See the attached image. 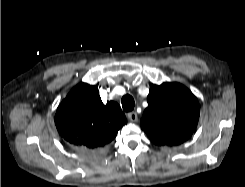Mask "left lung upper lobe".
Returning a JSON list of instances; mask_svg holds the SVG:
<instances>
[{
    "label": "left lung upper lobe",
    "instance_id": "5c2ea615",
    "mask_svg": "<svg viewBox=\"0 0 245 187\" xmlns=\"http://www.w3.org/2000/svg\"><path fill=\"white\" fill-rule=\"evenodd\" d=\"M141 127L156 145L176 146L194 132L200 114L197 98L179 83L154 85Z\"/></svg>",
    "mask_w": 245,
    "mask_h": 187
}]
</instances>
